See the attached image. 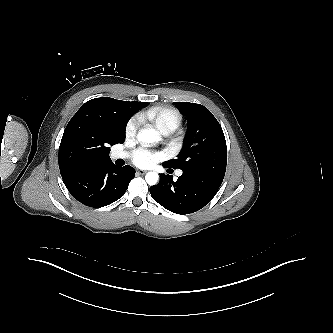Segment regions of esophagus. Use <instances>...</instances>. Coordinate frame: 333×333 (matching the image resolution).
<instances>
[{"label":"esophagus","instance_id":"34e87169","mask_svg":"<svg viewBox=\"0 0 333 333\" xmlns=\"http://www.w3.org/2000/svg\"><path fill=\"white\" fill-rule=\"evenodd\" d=\"M146 173V171L143 170H136V174L137 175H144Z\"/></svg>","mask_w":333,"mask_h":333}]
</instances>
